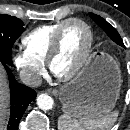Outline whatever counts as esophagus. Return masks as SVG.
<instances>
[{"label":"esophagus","mask_w":130,"mask_h":130,"mask_svg":"<svg viewBox=\"0 0 130 130\" xmlns=\"http://www.w3.org/2000/svg\"><path fill=\"white\" fill-rule=\"evenodd\" d=\"M46 92L52 95H57V90L53 88L47 89Z\"/></svg>","instance_id":"esophagus-1"}]
</instances>
